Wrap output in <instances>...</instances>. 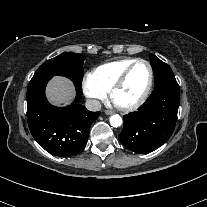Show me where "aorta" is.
I'll use <instances>...</instances> for the list:
<instances>
[{"mask_svg": "<svg viewBox=\"0 0 207 207\" xmlns=\"http://www.w3.org/2000/svg\"><path fill=\"white\" fill-rule=\"evenodd\" d=\"M110 124L111 126L117 128L122 125V118L120 115L115 114L110 117Z\"/></svg>", "mask_w": 207, "mask_h": 207, "instance_id": "1", "label": "aorta"}]
</instances>
